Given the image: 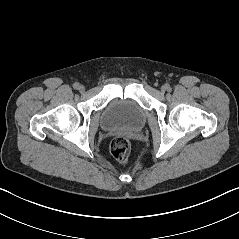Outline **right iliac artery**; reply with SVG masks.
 <instances>
[{"label":"right iliac artery","mask_w":239,"mask_h":239,"mask_svg":"<svg viewBox=\"0 0 239 239\" xmlns=\"http://www.w3.org/2000/svg\"><path fill=\"white\" fill-rule=\"evenodd\" d=\"M79 87H80L79 83H74V84H73V88H74V89H79Z\"/></svg>","instance_id":"82829eb1"}]
</instances>
